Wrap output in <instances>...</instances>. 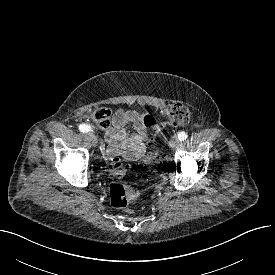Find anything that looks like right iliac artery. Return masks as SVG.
<instances>
[{
    "mask_svg": "<svg viewBox=\"0 0 275 275\" xmlns=\"http://www.w3.org/2000/svg\"><path fill=\"white\" fill-rule=\"evenodd\" d=\"M79 130L81 131V132H89V131H91V127L89 126V125H87V124H81L80 126H79ZM102 148L103 147H100V149L102 150Z\"/></svg>",
    "mask_w": 275,
    "mask_h": 275,
    "instance_id": "right-iliac-artery-1",
    "label": "right iliac artery"
}]
</instances>
